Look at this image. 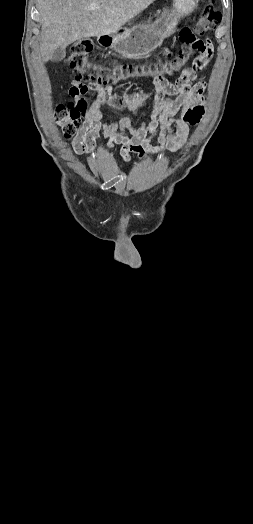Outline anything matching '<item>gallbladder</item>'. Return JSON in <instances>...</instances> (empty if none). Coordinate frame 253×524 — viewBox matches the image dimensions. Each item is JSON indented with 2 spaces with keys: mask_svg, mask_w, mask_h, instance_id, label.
I'll return each instance as SVG.
<instances>
[{
  "mask_svg": "<svg viewBox=\"0 0 253 524\" xmlns=\"http://www.w3.org/2000/svg\"><path fill=\"white\" fill-rule=\"evenodd\" d=\"M66 56L65 48L59 47L55 50L53 56L51 57V61L54 63H58L64 59Z\"/></svg>",
  "mask_w": 253,
  "mask_h": 524,
  "instance_id": "gallbladder-1",
  "label": "gallbladder"
}]
</instances>
